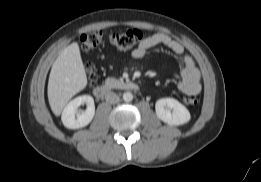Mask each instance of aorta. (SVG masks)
<instances>
[{"label": "aorta", "instance_id": "1", "mask_svg": "<svg viewBox=\"0 0 261 182\" xmlns=\"http://www.w3.org/2000/svg\"><path fill=\"white\" fill-rule=\"evenodd\" d=\"M132 99H133V95H132L131 92H125V93L123 94V100H124L125 102H130V101H132Z\"/></svg>", "mask_w": 261, "mask_h": 182}]
</instances>
